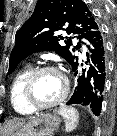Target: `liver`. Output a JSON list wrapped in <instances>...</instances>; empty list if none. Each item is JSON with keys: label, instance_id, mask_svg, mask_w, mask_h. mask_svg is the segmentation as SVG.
I'll list each match as a JSON object with an SVG mask.
<instances>
[{"label": "liver", "instance_id": "1", "mask_svg": "<svg viewBox=\"0 0 117 136\" xmlns=\"http://www.w3.org/2000/svg\"><path fill=\"white\" fill-rule=\"evenodd\" d=\"M25 121H22L20 119H12L9 120L6 125L4 126L3 134L4 136H10L13 134L14 131H16L18 128L23 126Z\"/></svg>", "mask_w": 117, "mask_h": 136}]
</instances>
